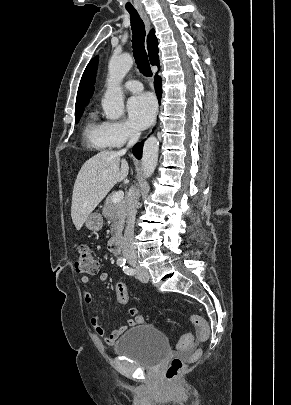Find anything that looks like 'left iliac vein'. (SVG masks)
Masks as SVG:
<instances>
[{
	"label": "left iliac vein",
	"instance_id": "obj_1",
	"mask_svg": "<svg viewBox=\"0 0 291 405\" xmlns=\"http://www.w3.org/2000/svg\"><path fill=\"white\" fill-rule=\"evenodd\" d=\"M136 275H137V278H138L141 282L146 283V282L149 281V273H148V271H147L145 268H143V267L138 266V267L136 268Z\"/></svg>",
	"mask_w": 291,
	"mask_h": 405
}]
</instances>
